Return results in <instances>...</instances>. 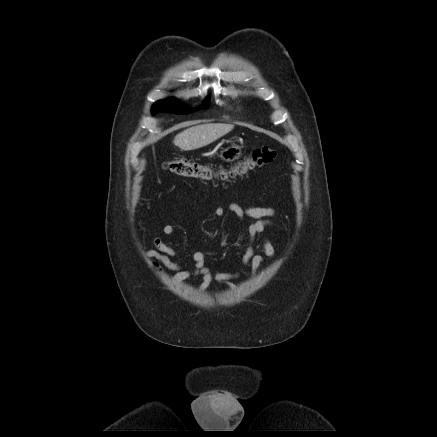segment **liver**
Listing matches in <instances>:
<instances>
[{
	"label": "liver",
	"mask_w": 437,
	"mask_h": 437,
	"mask_svg": "<svg viewBox=\"0 0 437 437\" xmlns=\"http://www.w3.org/2000/svg\"><path fill=\"white\" fill-rule=\"evenodd\" d=\"M234 125L223 123L200 124L187 128L177 134L174 144L181 150L190 151L202 148L232 131Z\"/></svg>",
	"instance_id": "liver-1"
}]
</instances>
